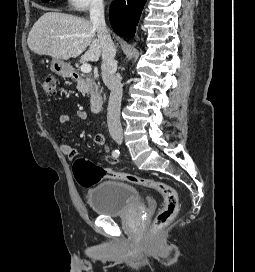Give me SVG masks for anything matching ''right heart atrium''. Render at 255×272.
<instances>
[{"mask_svg":"<svg viewBox=\"0 0 255 272\" xmlns=\"http://www.w3.org/2000/svg\"><path fill=\"white\" fill-rule=\"evenodd\" d=\"M103 3L104 0H68L69 8L79 12L100 9Z\"/></svg>","mask_w":255,"mask_h":272,"instance_id":"d8ad5b80","label":"right heart atrium"}]
</instances>
